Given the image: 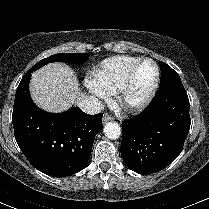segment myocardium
I'll use <instances>...</instances> for the list:
<instances>
[{
    "label": "myocardium",
    "mask_w": 209,
    "mask_h": 209,
    "mask_svg": "<svg viewBox=\"0 0 209 209\" xmlns=\"http://www.w3.org/2000/svg\"><path fill=\"white\" fill-rule=\"evenodd\" d=\"M143 62H151L154 65V67H155L154 83L144 99H142L140 102H137V103H129L127 101V93H128V90L131 86V83H132L133 74H134L135 70L137 69V67L140 64H142ZM159 84H160V68H159L158 64L156 63V61H154L152 58H149V57L140 58L139 60H137L135 63H133L129 67V69H128V71H127V73L120 85V88L117 92L118 106L122 110H124L125 112H128V113H136V112H140V111L144 110L145 108H147L150 105V103L154 99V97L157 93Z\"/></svg>",
    "instance_id": "1"
}]
</instances>
